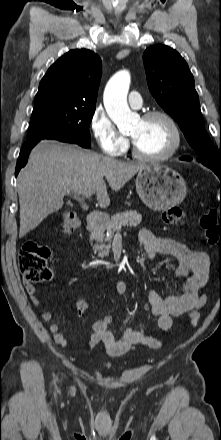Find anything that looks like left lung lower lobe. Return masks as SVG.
I'll return each instance as SVG.
<instances>
[{
    "mask_svg": "<svg viewBox=\"0 0 221 440\" xmlns=\"http://www.w3.org/2000/svg\"><path fill=\"white\" fill-rule=\"evenodd\" d=\"M189 157H182L180 158L181 160H189ZM215 173L217 174L218 177H221V171L220 170H216Z\"/></svg>",
    "mask_w": 221,
    "mask_h": 440,
    "instance_id": "0a47b994",
    "label": "left lung lower lobe"
}]
</instances>
